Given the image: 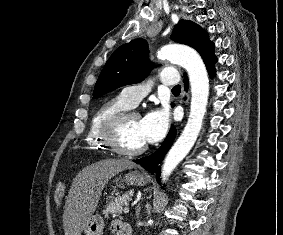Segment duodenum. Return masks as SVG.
I'll return each instance as SVG.
<instances>
[{
  "label": "duodenum",
  "instance_id": "obj_1",
  "mask_svg": "<svg viewBox=\"0 0 283 235\" xmlns=\"http://www.w3.org/2000/svg\"><path fill=\"white\" fill-rule=\"evenodd\" d=\"M116 231L117 235H132L131 228L122 223L117 224Z\"/></svg>",
  "mask_w": 283,
  "mask_h": 235
}]
</instances>
